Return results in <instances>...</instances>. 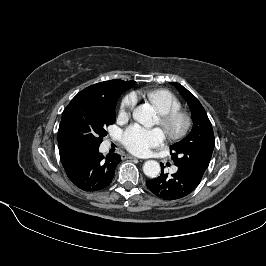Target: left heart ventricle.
Returning a JSON list of instances; mask_svg holds the SVG:
<instances>
[{"label": "left heart ventricle", "instance_id": "left-heart-ventricle-1", "mask_svg": "<svg viewBox=\"0 0 266 266\" xmlns=\"http://www.w3.org/2000/svg\"><path fill=\"white\" fill-rule=\"evenodd\" d=\"M158 124H160V119L158 120ZM161 125V124H160Z\"/></svg>", "mask_w": 266, "mask_h": 266}]
</instances>
